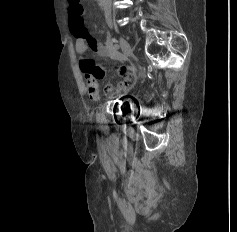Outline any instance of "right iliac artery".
<instances>
[{"instance_id":"1","label":"right iliac artery","mask_w":237,"mask_h":232,"mask_svg":"<svg viewBox=\"0 0 237 232\" xmlns=\"http://www.w3.org/2000/svg\"><path fill=\"white\" fill-rule=\"evenodd\" d=\"M114 48L117 50L119 48V46L116 44V45H114Z\"/></svg>"}]
</instances>
